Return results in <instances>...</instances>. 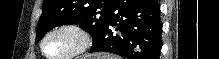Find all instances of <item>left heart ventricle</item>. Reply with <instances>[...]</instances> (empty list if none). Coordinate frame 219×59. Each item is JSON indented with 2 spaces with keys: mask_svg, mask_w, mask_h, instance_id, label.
Returning a JSON list of instances; mask_svg holds the SVG:
<instances>
[{
  "mask_svg": "<svg viewBox=\"0 0 219 59\" xmlns=\"http://www.w3.org/2000/svg\"><path fill=\"white\" fill-rule=\"evenodd\" d=\"M79 40L71 32L62 31L51 35L45 43V51L52 57H61L72 52Z\"/></svg>",
  "mask_w": 219,
  "mask_h": 59,
  "instance_id": "1",
  "label": "left heart ventricle"
}]
</instances>
